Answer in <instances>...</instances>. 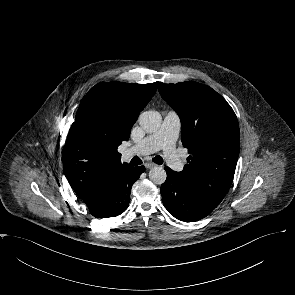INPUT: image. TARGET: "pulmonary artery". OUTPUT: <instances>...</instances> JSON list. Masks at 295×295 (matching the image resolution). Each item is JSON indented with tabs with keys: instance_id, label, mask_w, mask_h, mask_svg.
<instances>
[{
	"instance_id": "e3ab8cb5",
	"label": "pulmonary artery",
	"mask_w": 295,
	"mask_h": 295,
	"mask_svg": "<svg viewBox=\"0 0 295 295\" xmlns=\"http://www.w3.org/2000/svg\"><path fill=\"white\" fill-rule=\"evenodd\" d=\"M180 129V117L177 112L171 110L165 115L158 130L127 149L125 156H130L134 153L147 155L162 150L168 165L175 171H181L184 163L175 149Z\"/></svg>"
}]
</instances>
